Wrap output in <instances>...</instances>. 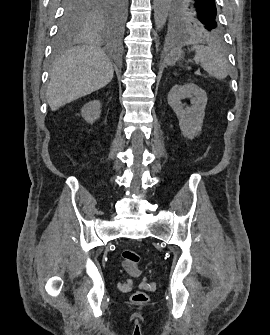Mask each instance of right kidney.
<instances>
[{
	"instance_id": "obj_1",
	"label": "right kidney",
	"mask_w": 270,
	"mask_h": 335,
	"mask_svg": "<svg viewBox=\"0 0 270 335\" xmlns=\"http://www.w3.org/2000/svg\"><path fill=\"white\" fill-rule=\"evenodd\" d=\"M101 104L99 100H93V102H88V104H85L81 110V114L88 122V124H94L95 120H98L100 118V110Z\"/></svg>"
}]
</instances>
